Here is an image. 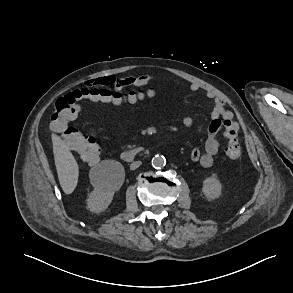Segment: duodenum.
I'll list each match as a JSON object with an SVG mask.
<instances>
[{
	"label": "duodenum",
	"instance_id": "duodenum-1",
	"mask_svg": "<svg viewBox=\"0 0 293 293\" xmlns=\"http://www.w3.org/2000/svg\"><path fill=\"white\" fill-rule=\"evenodd\" d=\"M143 151L141 147H136L129 150H124L120 153V158L124 162H132Z\"/></svg>",
	"mask_w": 293,
	"mask_h": 293
}]
</instances>
